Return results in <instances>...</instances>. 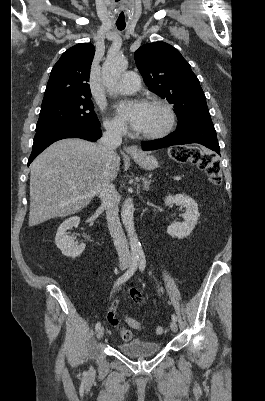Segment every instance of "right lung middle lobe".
<instances>
[{"instance_id": "dd1d6c3e", "label": "right lung middle lobe", "mask_w": 265, "mask_h": 401, "mask_svg": "<svg viewBox=\"0 0 265 401\" xmlns=\"http://www.w3.org/2000/svg\"><path fill=\"white\" fill-rule=\"evenodd\" d=\"M57 124L100 127L90 97L62 99L42 104L36 130Z\"/></svg>"}]
</instances>
